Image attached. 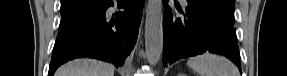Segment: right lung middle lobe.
Here are the masks:
<instances>
[{"label":"right lung middle lobe","instance_id":"1","mask_svg":"<svg viewBox=\"0 0 287 76\" xmlns=\"http://www.w3.org/2000/svg\"><path fill=\"white\" fill-rule=\"evenodd\" d=\"M92 0H62L61 16L66 18L88 6Z\"/></svg>","mask_w":287,"mask_h":76}]
</instances>
